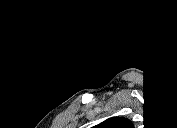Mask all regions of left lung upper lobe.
<instances>
[{"label": "left lung upper lobe", "mask_w": 177, "mask_h": 128, "mask_svg": "<svg viewBox=\"0 0 177 128\" xmlns=\"http://www.w3.org/2000/svg\"><path fill=\"white\" fill-rule=\"evenodd\" d=\"M103 128H131L132 123L123 117H112L100 124Z\"/></svg>", "instance_id": "obj_1"}]
</instances>
